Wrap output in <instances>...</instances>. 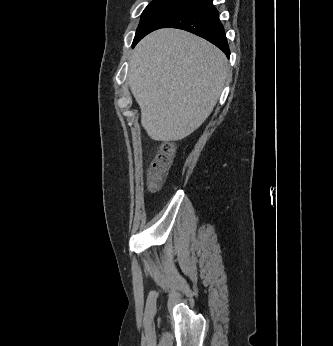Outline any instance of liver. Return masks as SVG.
I'll return each instance as SVG.
<instances>
[{"instance_id":"1","label":"liver","mask_w":333,"mask_h":346,"mask_svg":"<svg viewBox=\"0 0 333 346\" xmlns=\"http://www.w3.org/2000/svg\"><path fill=\"white\" fill-rule=\"evenodd\" d=\"M129 62V86L141 109V125L156 141L182 140L200 127L229 70L221 50L179 29L147 35Z\"/></svg>"}]
</instances>
